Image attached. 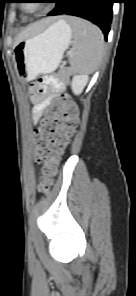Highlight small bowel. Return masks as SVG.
Wrapping results in <instances>:
<instances>
[{
  "label": "small bowel",
  "instance_id": "small-bowel-1",
  "mask_svg": "<svg viewBox=\"0 0 136 296\" xmlns=\"http://www.w3.org/2000/svg\"><path fill=\"white\" fill-rule=\"evenodd\" d=\"M64 89V85L56 79H40L33 86V121L38 123L42 117L44 109L51 103L52 100L58 98Z\"/></svg>",
  "mask_w": 136,
  "mask_h": 296
}]
</instances>
